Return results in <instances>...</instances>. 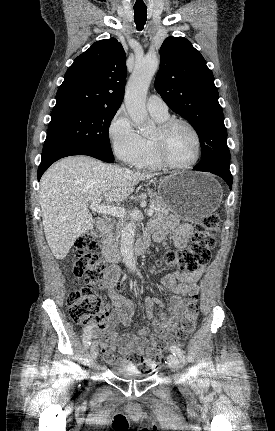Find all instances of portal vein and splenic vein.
Listing matches in <instances>:
<instances>
[{"mask_svg":"<svg viewBox=\"0 0 275 431\" xmlns=\"http://www.w3.org/2000/svg\"><path fill=\"white\" fill-rule=\"evenodd\" d=\"M101 199H98L91 203L90 209L94 212L102 213V214H109L112 216H117L123 218L126 215V210L121 207H115L111 205H101L100 204ZM154 213L153 209H149L147 211L148 216H152Z\"/></svg>","mask_w":275,"mask_h":431,"instance_id":"portal-vein-and-splenic-vein-1","label":"portal vein and splenic vein"}]
</instances>
